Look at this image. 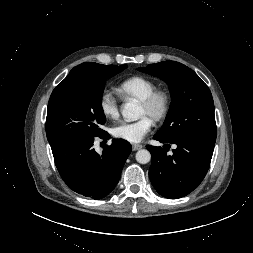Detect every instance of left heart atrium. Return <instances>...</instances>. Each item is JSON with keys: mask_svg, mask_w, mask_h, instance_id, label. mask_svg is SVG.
<instances>
[{"mask_svg": "<svg viewBox=\"0 0 253 253\" xmlns=\"http://www.w3.org/2000/svg\"><path fill=\"white\" fill-rule=\"evenodd\" d=\"M153 127V121L148 116H142L135 121H121L111 128V133L115 138L131 143L140 142Z\"/></svg>", "mask_w": 253, "mask_h": 253, "instance_id": "left-heart-atrium-1", "label": "left heart atrium"}]
</instances>
